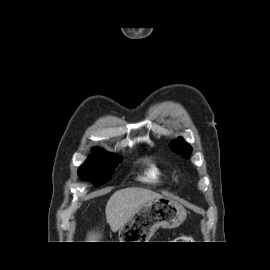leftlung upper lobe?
<instances>
[{
  "mask_svg": "<svg viewBox=\"0 0 270 270\" xmlns=\"http://www.w3.org/2000/svg\"><path fill=\"white\" fill-rule=\"evenodd\" d=\"M171 148L174 152H177L186 158L189 157L192 150L191 147L181 137H179L177 141L172 142Z\"/></svg>",
  "mask_w": 270,
  "mask_h": 270,
  "instance_id": "1",
  "label": "left lung upper lobe"
}]
</instances>
